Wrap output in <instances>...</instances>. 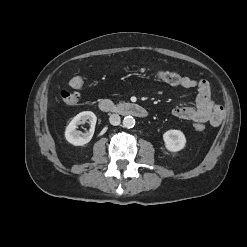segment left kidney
Segmentation results:
<instances>
[{"label":"left kidney","instance_id":"1","mask_svg":"<svg viewBox=\"0 0 247 247\" xmlns=\"http://www.w3.org/2000/svg\"><path fill=\"white\" fill-rule=\"evenodd\" d=\"M163 140L167 150L178 152L185 147L186 138L180 130H168L163 134Z\"/></svg>","mask_w":247,"mask_h":247}]
</instances>
